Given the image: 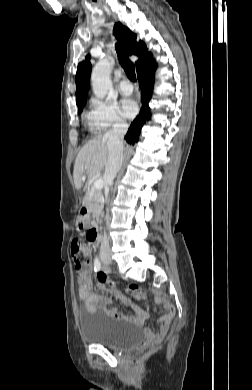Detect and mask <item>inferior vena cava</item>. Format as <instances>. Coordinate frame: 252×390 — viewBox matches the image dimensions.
Instances as JSON below:
<instances>
[{
    "label": "inferior vena cava",
    "mask_w": 252,
    "mask_h": 390,
    "mask_svg": "<svg viewBox=\"0 0 252 390\" xmlns=\"http://www.w3.org/2000/svg\"><path fill=\"white\" fill-rule=\"evenodd\" d=\"M128 130L126 123H117L113 129L105 134L108 146V162L105 166L104 181H105V197L107 199L109 193V185L113 183L116 174L120 170L123 162V143L122 140ZM101 253L109 252V239L106 233L103 236Z\"/></svg>",
    "instance_id": "inferior-vena-cava-1"
}]
</instances>
